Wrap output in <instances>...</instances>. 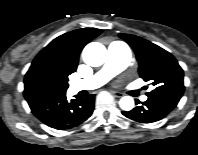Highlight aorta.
Masks as SVG:
<instances>
[{"label":"aorta","mask_w":198,"mask_h":155,"mask_svg":"<svg viewBox=\"0 0 198 155\" xmlns=\"http://www.w3.org/2000/svg\"><path fill=\"white\" fill-rule=\"evenodd\" d=\"M82 56L86 64L97 67L105 62L107 51L103 44L91 42L83 49ZM119 106L124 111H130L134 108V99L131 96H124L120 99Z\"/></svg>","instance_id":"1"}]
</instances>
